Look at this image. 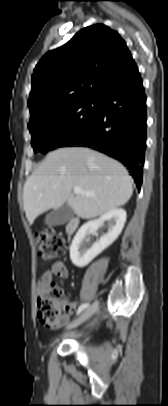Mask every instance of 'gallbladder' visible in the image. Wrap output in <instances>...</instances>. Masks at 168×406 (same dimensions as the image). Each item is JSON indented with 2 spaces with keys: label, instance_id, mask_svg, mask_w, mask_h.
Returning <instances> with one entry per match:
<instances>
[{
  "label": "gallbladder",
  "instance_id": "bac80fb5",
  "mask_svg": "<svg viewBox=\"0 0 168 406\" xmlns=\"http://www.w3.org/2000/svg\"><path fill=\"white\" fill-rule=\"evenodd\" d=\"M74 215L72 208L65 203L63 206L51 211L45 217V223L49 226L63 225Z\"/></svg>",
  "mask_w": 168,
  "mask_h": 406
}]
</instances>
